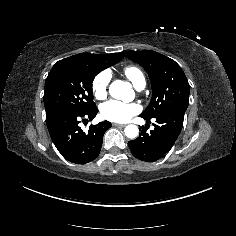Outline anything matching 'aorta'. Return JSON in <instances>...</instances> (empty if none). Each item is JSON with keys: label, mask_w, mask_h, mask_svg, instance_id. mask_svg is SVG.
<instances>
[{"label": "aorta", "mask_w": 236, "mask_h": 236, "mask_svg": "<svg viewBox=\"0 0 236 236\" xmlns=\"http://www.w3.org/2000/svg\"><path fill=\"white\" fill-rule=\"evenodd\" d=\"M120 84V81H115L110 87V93L114 96V89ZM124 133L128 138H135L139 134V129L135 124H129L125 127Z\"/></svg>", "instance_id": "obj_1"}]
</instances>
